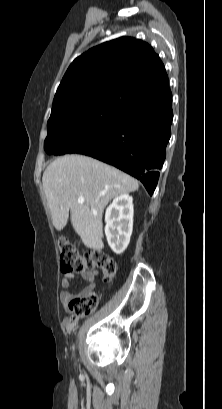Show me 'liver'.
Returning <instances> with one entry per match:
<instances>
[{
  "mask_svg": "<svg viewBox=\"0 0 222 409\" xmlns=\"http://www.w3.org/2000/svg\"><path fill=\"white\" fill-rule=\"evenodd\" d=\"M43 190L54 227L61 231L71 223L84 245L93 250L104 247L102 214L116 196L138 190V181L101 161L82 155L58 157L45 169ZM85 202L79 204L77 198Z\"/></svg>",
  "mask_w": 222,
  "mask_h": 409,
  "instance_id": "obj_1",
  "label": "liver"
}]
</instances>
